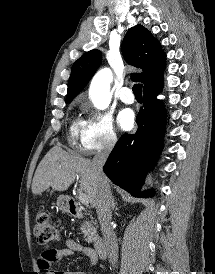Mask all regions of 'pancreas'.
Masks as SVG:
<instances>
[{
  "label": "pancreas",
  "instance_id": "obj_1",
  "mask_svg": "<svg viewBox=\"0 0 215 274\" xmlns=\"http://www.w3.org/2000/svg\"><path fill=\"white\" fill-rule=\"evenodd\" d=\"M81 231L88 243L95 242L97 235L96 223L93 220L83 221L81 224Z\"/></svg>",
  "mask_w": 215,
  "mask_h": 274
}]
</instances>
